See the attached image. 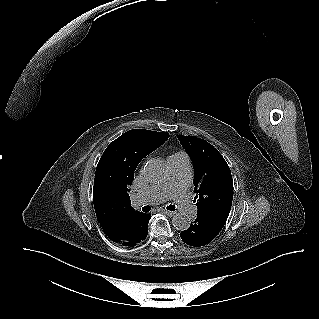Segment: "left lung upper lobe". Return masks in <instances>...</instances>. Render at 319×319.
<instances>
[{
	"label": "left lung upper lobe",
	"instance_id": "left-lung-upper-lobe-1",
	"mask_svg": "<svg viewBox=\"0 0 319 319\" xmlns=\"http://www.w3.org/2000/svg\"><path fill=\"white\" fill-rule=\"evenodd\" d=\"M194 168L195 202L198 211L230 212L233 180L228 164L210 143L195 136L177 135Z\"/></svg>",
	"mask_w": 319,
	"mask_h": 319
}]
</instances>
